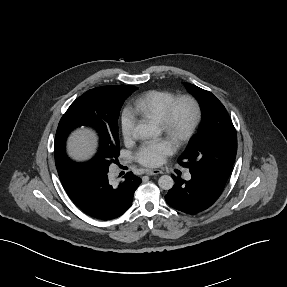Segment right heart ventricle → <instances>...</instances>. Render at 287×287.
<instances>
[{"label":"right heart ventricle","mask_w":287,"mask_h":287,"mask_svg":"<svg viewBox=\"0 0 287 287\" xmlns=\"http://www.w3.org/2000/svg\"><path fill=\"white\" fill-rule=\"evenodd\" d=\"M175 95L169 91L150 90L136 97L132 102L133 112L143 118H151L160 122Z\"/></svg>","instance_id":"right-heart-ventricle-1"}]
</instances>
